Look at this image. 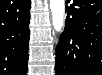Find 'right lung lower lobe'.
I'll use <instances>...</instances> for the list:
<instances>
[{
  "instance_id": "obj_1",
  "label": "right lung lower lobe",
  "mask_w": 102,
  "mask_h": 75,
  "mask_svg": "<svg viewBox=\"0 0 102 75\" xmlns=\"http://www.w3.org/2000/svg\"><path fill=\"white\" fill-rule=\"evenodd\" d=\"M30 0L0 1V74L27 75Z\"/></svg>"
}]
</instances>
